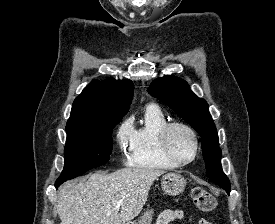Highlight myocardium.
<instances>
[{"label": "myocardium", "instance_id": "myocardium-1", "mask_svg": "<svg viewBox=\"0 0 275 224\" xmlns=\"http://www.w3.org/2000/svg\"><path fill=\"white\" fill-rule=\"evenodd\" d=\"M175 129H182L186 131L194 142V153L188 159H181L176 156L170 147V136ZM159 145L163 155L172 161L177 166H186L192 163L199 155L200 152V143L199 138L195 130L189 125L183 122H168L160 131L159 134Z\"/></svg>", "mask_w": 275, "mask_h": 224}]
</instances>
